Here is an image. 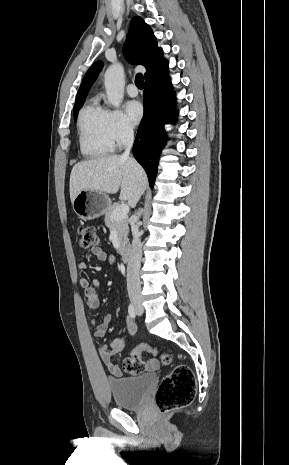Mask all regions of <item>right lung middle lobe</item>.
Masks as SVG:
<instances>
[{
	"mask_svg": "<svg viewBox=\"0 0 289 465\" xmlns=\"http://www.w3.org/2000/svg\"><path fill=\"white\" fill-rule=\"evenodd\" d=\"M83 103H84V100L75 103L74 105V117L75 118L78 114L79 109L82 107Z\"/></svg>",
	"mask_w": 289,
	"mask_h": 465,
	"instance_id": "obj_1",
	"label": "right lung middle lobe"
}]
</instances>
